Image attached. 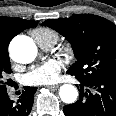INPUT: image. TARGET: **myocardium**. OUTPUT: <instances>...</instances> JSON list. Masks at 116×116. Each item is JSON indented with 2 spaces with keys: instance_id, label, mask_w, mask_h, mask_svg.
Here are the masks:
<instances>
[{
  "instance_id": "myocardium-1",
  "label": "myocardium",
  "mask_w": 116,
  "mask_h": 116,
  "mask_svg": "<svg viewBox=\"0 0 116 116\" xmlns=\"http://www.w3.org/2000/svg\"><path fill=\"white\" fill-rule=\"evenodd\" d=\"M61 51L67 55V56H71L72 55V49L69 46H64L61 48Z\"/></svg>"
}]
</instances>
